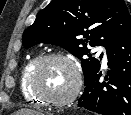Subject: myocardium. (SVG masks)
Instances as JSON below:
<instances>
[{"label": "myocardium", "mask_w": 131, "mask_h": 115, "mask_svg": "<svg viewBox=\"0 0 131 115\" xmlns=\"http://www.w3.org/2000/svg\"><path fill=\"white\" fill-rule=\"evenodd\" d=\"M56 60L68 63L72 67L75 74L74 87L71 90V92L64 98H52L46 93L42 92L38 87V76L40 71L47 63ZM82 83V72L79 65L72 57L62 53H53L41 57L39 61L36 63V65L33 67L29 79V85L32 93L44 104L51 105L54 107H63L73 102L81 91Z\"/></svg>", "instance_id": "myocardium-1"}]
</instances>
